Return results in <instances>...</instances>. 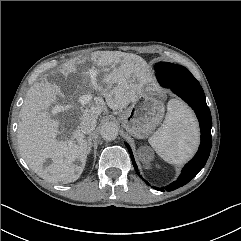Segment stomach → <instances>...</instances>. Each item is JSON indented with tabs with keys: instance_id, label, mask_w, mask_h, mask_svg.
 <instances>
[{
	"instance_id": "1",
	"label": "stomach",
	"mask_w": 241,
	"mask_h": 241,
	"mask_svg": "<svg viewBox=\"0 0 241 241\" xmlns=\"http://www.w3.org/2000/svg\"><path fill=\"white\" fill-rule=\"evenodd\" d=\"M165 107L154 93L145 92L121 110L119 120L125 130L136 138L149 136L161 123Z\"/></svg>"
}]
</instances>
